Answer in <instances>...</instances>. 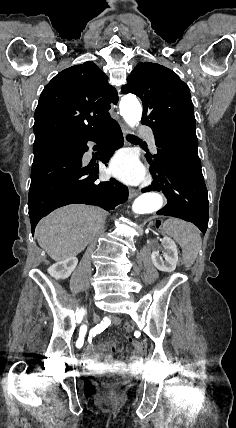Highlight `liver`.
<instances>
[{"label": "liver", "instance_id": "liver-1", "mask_svg": "<svg viewBox=\"0 0 236 428\" xmlns=\"http://www.w3.org/2000/svg\"><path fill=\"white\" fill-rule=\"evenodd\" d=\"M103 224L100 208L81 204L64 206L40 220L36 228L37 242L52 260L59 262L83 252Z\"/></svg>", "mask_w": 236, "mask_h": 428}]
</instances>
